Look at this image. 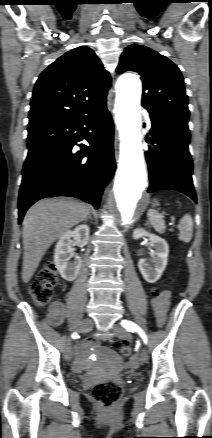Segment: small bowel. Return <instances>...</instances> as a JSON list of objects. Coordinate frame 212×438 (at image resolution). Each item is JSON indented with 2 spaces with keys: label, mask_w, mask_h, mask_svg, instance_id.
Listing matches in <instances>:
<instances>
[{
  "label": "small bowel",
  "mask_w": 212,
  "mask_h": 438,
  "mask_svg": "<svg viewBox=\"0 0 212 438\" xmlns=\"http://www.w3.org/2000/svg\"><path fill=\"white\" fill-rule=\"evenodd\" d=\"M171 293L169 291L161 292L157 297H153L151 304L155 313V317L159 326H162L166 320L167 313L170 307ZM65 317L64 304L56 301L51 304L48 312V321L52 326H58L62 323ZM90 345L82 344L78 350L77 363L74 371L79 372L85 365L86 353Z\"/></svg>",
  "instance_id": "c3829d8e"
}]
</instances>
